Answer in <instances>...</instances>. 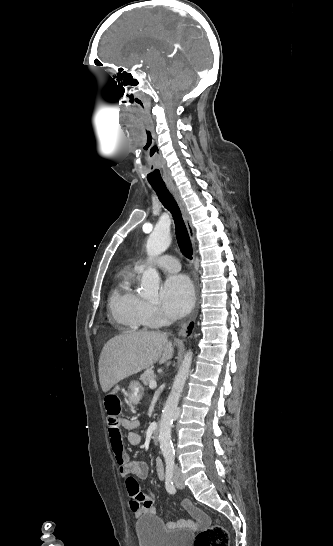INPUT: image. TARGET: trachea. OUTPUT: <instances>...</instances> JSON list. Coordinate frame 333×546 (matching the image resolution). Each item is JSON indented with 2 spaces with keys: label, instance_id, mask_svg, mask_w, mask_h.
<instances>
[{
  "label": "trachea",
  "instance_id": "trachea-1",
  "mask_svg": "<svg viewBox=\"0 0 333 546\" xmlns=\"http://www.w3.org/2000/svg\"><path fill=\"white\" fill-rule=\"evenodd\" d=\"M150 175H159L161 177L159 170H155ZM151 186L156 192L159 200L162 202L164 207L171 212L175 223L176 237L179 248L182 254L186 258L191 260L193 255L192 244L177 202L175 201L174 197L169 192L165 184L151 183Z\"/></svg>",
  "mask_w": 333,
  "mask_h": 546
}]
</instances>
